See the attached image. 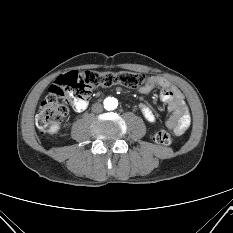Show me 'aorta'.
Listing matches in <instances>:
<instances>
[{
  "mask_svg": "<svg viewBox=\"0 0 233 233\" xmlns=\"http://www.w3.org/2000/svg\"><path fill=\"white\" fill-rule=\"evenodd\" d=\"M104 105L107 110H114L118 106V101L113 97H108L104 100Z\"/></svg>",
  "mask_w": 233,
  "mask_h": 233,
  "instance_id": "aorta-1",
  "label": "aorta"
}]
</instances>
